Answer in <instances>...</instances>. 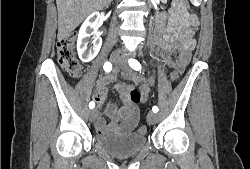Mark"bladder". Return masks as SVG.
<instances>
[{
	"instance_id": "1",
	"label": "bladder",
	"mask_w": 250,
	"mask_h": 169,
	"mask_svg": "<svg viewBox=\"0 0 250 169\" xmlns=\"http://www.w3.org/2000/svg\"><path fill=\"white\" fill-rule=\"evenodd\" d=\"M94 143L105 152L117 158L137 155L147 144L146 134L98 132L93 136Z\"/></svg>"
}]
</instances>
